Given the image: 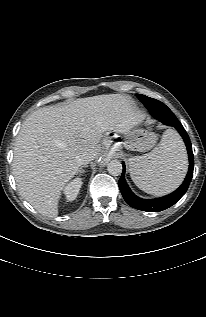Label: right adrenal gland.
Here are the masks:
<instances>
[{
  "label": "right adrenal gland",
  "instance_id": "obj_1",
  "mask_svg": "<svg viewBox=\"0 0 206 317\" xmlns=\"http://www.w3.org/2000/svg\"><path fill=\"white\" fill-rule=\"evenodd\" d=\"M84 167H87V165L81 166V167L79 168L77 174L82 175V174L84 173V170H83Z\"/></svg>",
  "mask_w": 206,
  "mask_h": 317
}]
</instances>
